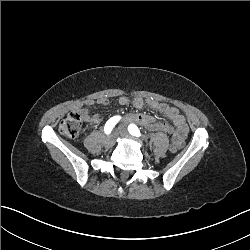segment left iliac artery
I'll return each instance as SVG.
<instances>
[{"label": "left iliac artery", "instance_id": "1", "mask_svg": "<svg viewBox=\"0 0 250 250\" xmlns=\"http://www.w3.org/2000/svg\"><path fill=\"white\" fill-rule=\"evenodd\" d=\"M128 131L133 136H136V137L141 136L140 130L138 129V127L135 124H130L128 126Z\"/></svg>", "mask_w": 250, "mask_h": 250}]
</instances>
